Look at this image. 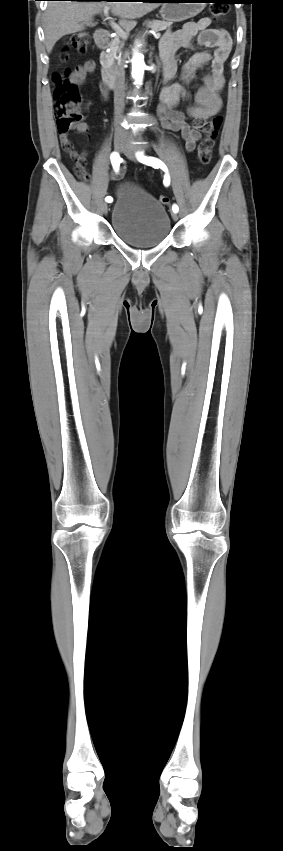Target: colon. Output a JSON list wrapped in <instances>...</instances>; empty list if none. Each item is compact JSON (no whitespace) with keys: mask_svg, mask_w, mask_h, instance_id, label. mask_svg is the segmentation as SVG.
I'll return each mask as SVG.
<instances>
[{"mask_svg":"<svg viewBox=\"0 0 283 851\" xmlns=\"http://www.w3.org/2000/svg\"><path fill=\"white\" fill-rule=\"evenodd\" d=\"M227 12L228 7L223 4H215L211 7V14L215 19L223 18ZM89 41V34L85 31H77L67 36L60 53L61 60L63 62L68 61L71 50L81 53L85 52ZM53 80L56 86L55 96L57 98L54 116L59 134L65 135L73 129L86 131L87 125L84 122V116L81 112V95L77 86L70 82L67 72L54 74ZM222 123L223 117L214 115L202 128L204 136L197 149L198 159L202 164H208L211 160L212 148ZM75 174L84 180L89 178L85 166L80 162L75 164ZM159 201L162 204H168L169 197L161 195Z\"/></svg>","mask_w":283,"mask_h":851,"instance_id":"colon-1","label":"colon"}]
</instances>
